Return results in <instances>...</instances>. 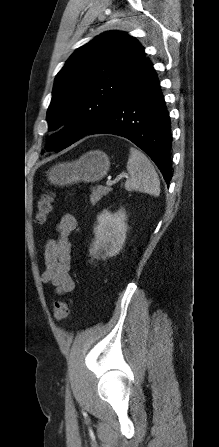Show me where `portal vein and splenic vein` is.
<instances>
[{
  "label": "portal vein and splenic vein",
  "instance_id": "1",
  "mask_svg": "<svg viewBox=\"0 0 219 447\" xmlns=\"http://www.w3.org/2000/svg\"><path fill=\"white\" fill-rule=\"evenodd\" d=\"M122 178H128V175H126V174L119 175L116 177V179L114 181L111 179H108L106 184H107V186L111 187L114 183L120 181Z\"/></svg>",
  "mask_w": 219,
  "mask_h": 447
}]
</instances>
